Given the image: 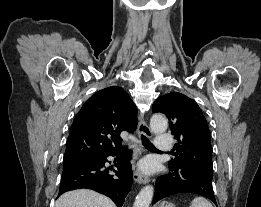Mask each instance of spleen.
<instances>
[{"mask_svg": "<svg viewBox=\"0 0 261 207\" xmlns=\"http://www.w3.org/2000/svg\"><path fill=\"white\" fill-rule=\"evenodd\" d=\"M189 207H213L212 204L202 197H195Z\"/></svg>", "mask_w": 261, "mask_h": 207, "instance_id": "obj_1", "label": "spleen"}]
</instances>
